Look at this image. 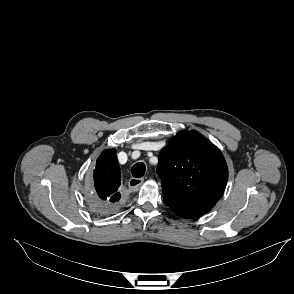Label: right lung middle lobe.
Returning <instances> with one entry per match:
<instances>
[{"label":"right lung middle lobe","mask_w":294,"mask_h":294,"mask_svg":"<svg viewBox=\"0 0 294 294\" xmlns=\"http://www.w3.org/2000/svg\"><path fill=\"white\" fill-rule=\"evenodd\" d=\"M89 202L94 212L98 214H106V211H104V208H103L104 206L102 205V203H100L96 194L89 197Z\"/></svg>","instance_id":"obj_1"}]
</instances>
